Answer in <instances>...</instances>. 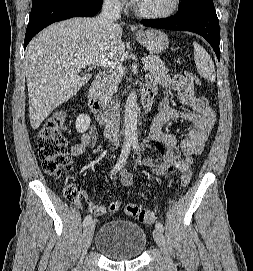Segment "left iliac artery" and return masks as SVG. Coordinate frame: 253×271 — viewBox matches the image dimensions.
Segmentation results:
<instances>
[{"instance_id":"44dca946","label":"left iliac artery","mask_w":253,"mask_h":271,"mask_svg":"<svg viewBox=\"0 0 253 271\" xmlns=\"http://www.w3.org/2000/svg\"><path fill=\"white\" fill-rule=\"evenodd\" d=\"M132 144H133L134 150H135L136 153L138 154V153H139V143H138V141H137V140H134V141L132 142ZM156 228H157L158 230H160L161 232L164 231V226H163V224L160 223V222H157V223H156Z\"/></svg>"}]
</instances>
